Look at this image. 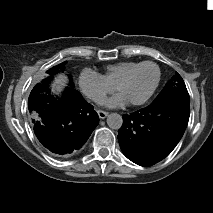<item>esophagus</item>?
Listing matches in <instances>:
<instances>
[{"mask_svg": "<svg viewBox=\"0 0 213 213\" xmlns=\"http://www.w3.org/2000/svg\"><path fill=\"white\" fill-rule=\"evenodd\" d=\"M97 113L101 119L106 118V116L108 115V112L102 110H98Z\"/></svg>", "mask_w": 213, "mask_h": 213, "instance_id": "1", "label": "esophagus"}]
</instances>
